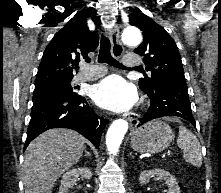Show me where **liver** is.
Returning <instances> with one entry per match:
<instances>
[{
	"mask_svg": "<svg viewBox=\"0 0 221 193\" xmlns=\"http://www.w3.org/2000/svg\"><path fill=\"white\" fill-rule=\"evenodd\" d=\"M85 138L78 132L49 129L35 138L24 153L25 193H52L56 180L81 158Z\"/></svg>",
	"mask_w": 221,
	"mask_h": 193,
	"instance_id": "6515ba94",
	"label": "liver"
}]
</instances>
